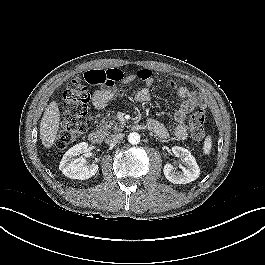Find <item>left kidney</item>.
Instances as JSON below:
<instances>
[{
	"mask_svg": "<svg viewBox=\"0 0 265 265\" xmlns=\"http://www.w3.org/2000/svg\"><path fill=\"white\" fill-rule=\"evenodd\" d=\"M172 152L176 157L183 160L187 167L181 166V171H175L171 164H166L163 168L166 179L173 184H186L196 180L200 175V169L190 151L183 147L174 146Z\"/></svg>",
	"mask_w": 265,
	"mask_h": 265,
	"instance_id": "left-kidney-1",
	"label": "left kidney"
}]
</instances>
